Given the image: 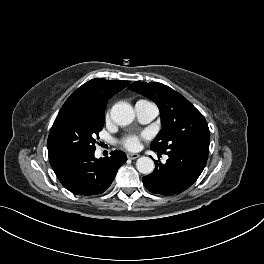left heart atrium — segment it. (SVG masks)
Masks as SVG:
<instances>
[{
    "label": "left heart atrium",
    "instance_id": "obj_1",
    "mask_svg": "<svg viewBox=\"0 0 264 264\" xmlns=\"http://www.w3.org/2000/svg\"><path fill=\"white\" fill-rule=\"evenodd\" d=\"M142 138H144V135H128L122 139L121 144L128 150H137L140 147Z\"/></svg>",
    "mask_w": 264,
    "mask_h": 264
}]
</instances>
